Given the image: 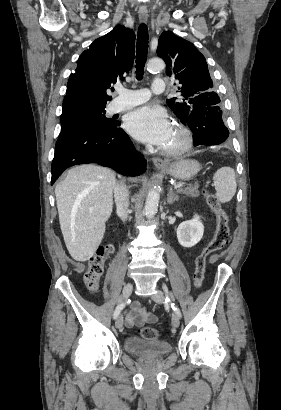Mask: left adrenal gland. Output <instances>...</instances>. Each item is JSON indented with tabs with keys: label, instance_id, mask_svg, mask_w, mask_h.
Wrapping results in <instances>:
<instances>
[{
	"label": "left adrenal gland",
	"instance_id": "a2214340",
	"mask_svg": "<svg viewBox=\"0 0 281 410\" xmlns=\"http://www.w3.org/2000/svg\"><path fill=\"white\" fill-rule=\"evenodd\" d=\"M179 197L177 194L174 193L172 187H170L168 195H167V203L173 204V202L178 201Z\"/></svg>",
	"mask_w": 281,
	"mask_h": 410
}]
</instances>
